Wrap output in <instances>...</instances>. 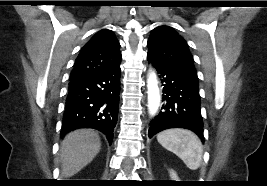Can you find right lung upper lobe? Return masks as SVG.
<instances>
[{
  "label": "right lung upper lobe",
  "mask_w": 267,
  "mask_h": 186,
  "mask_svg": "<svg viewBox=\"0 0 267 186\" xmlns=\"http://www.w3.org/2000/svg\"><path fill=\"white\" fill-rule=\"evenodd\" d=\"M121 58L120 44L112 31L100 30L81 49L70 77L119 64Z\"/></svg>",
  "instance_id": "cb5924a9"
}]
</instances>
